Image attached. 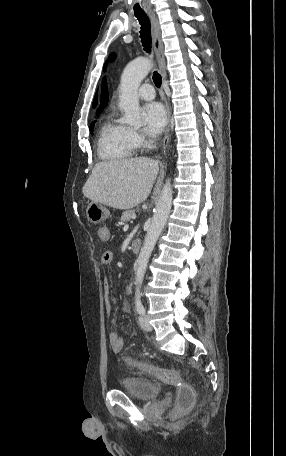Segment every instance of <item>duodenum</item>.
<instances>
[{
    "instance_id": "1",
    "label": "duodenum",
    "mask_w": 286,
    "mask_h": 456,
    "mask_svg": "<svg viewBox=\"0 0 286 456\" xmlns=\"http://www.w3.org/2000/svg\"><path fill=\"white\" fill-rule=\"evenodd\" d=\"M140 247H141V241L139 239L134 240L131 244V250L134 253H138L140 251Z\"/></svg>"
}]
</instances>
